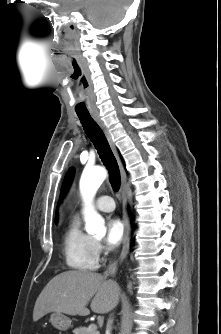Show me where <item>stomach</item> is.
Listing matches in <instances>:
<instances>
[{
  "label": "stomach",
  "mask_w": 221,
  "mask_h": 334,
  "mask_svg": "<svg viewBox=\"0 0 221 334\" xmlns=\"http://www.w3.org/2000/svg\"><path fill=\"white\" fill-rule=\"evenodd\" d=\"M51 324L58 330L66 331L71 327V319L63 313L53 312L50 316Z\"/></svg>",
  "instance_id": "1"
}]
</instances>
